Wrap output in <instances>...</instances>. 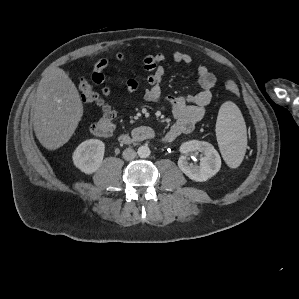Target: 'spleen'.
I'll return each instance as SVG.
<instances>
[{"label": "spleen", "mask_w": 299, "mask_h": 299, "mask_svg": "<svg viewBox=\"0 0 299 299\" xmlns=\"http://www.w3.org/2000/svg\"><path fill=\"white\" fill-rule=\"evenodd\" d=\"M216 136L222 156L229 167H238L245 155L246 125L241 111L231 101L223 103L216 122Z\"/></svg>", "instance_id": "spleen-1"}]
</instances>
